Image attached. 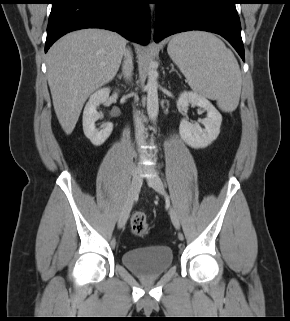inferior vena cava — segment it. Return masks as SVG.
Instances as JSON below:
<instances>
[{"label": "inferior vena cava", "instance_id": "602c4592", "mask_svg": "<svg viewBox=\"0 0 290 321\" xmlns=\"http://www.w3.org/2000/svg\"><path fill=\"white\" fill-rule=\"evenodd\" d=\"M125 59H124V63H123V72L124 75L127 79H130L131 77V72H132V55L131 52L129 50H125ZM134 122H135V136H136V140L139 144H141L143 142V124H142V120L139 117L138 114H136L134 116Z\"/></svg>", "mask_w": 290, "mask_h": 321}]
</instances>
